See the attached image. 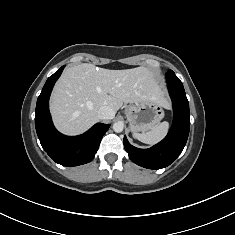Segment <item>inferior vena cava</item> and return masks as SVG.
Returning <instances> with one entry per match:
<instances>
[{
    "label": "inferior vena cava",
    "instance_id": "1",
    "mask_svg": "<svg viewBox=\"0 0 235 235\" xmlns=\"http://www.w3.org/2000/svg\"><path fill=\"white\" fill-rule=\"evenodd\" d=\"M115 116L114 110L109 106H101L98 110V118L101 120L113 119Z\"/></svg>",
    "mask_w": 235,
    "mask_h": 235
}]
</instances>
